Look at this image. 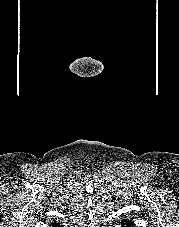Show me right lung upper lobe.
<instances>
[{"instance_id": "obj_1", "label": "right lung upper lobe", "mask_w": 179, "mask_h": 227, "mask_svg": "<svg viewBox=\"0 0 179 227\" xmlns=\"http://www.w3.org/2000/svg\"><path fill=\"white\" fill-rule=\"evenodd\" d=\"M51 227H57V224L56 223H52Z\"/></svg>"}]
</instances>
